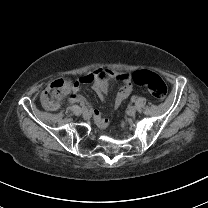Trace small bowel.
Returning a JSON list of instances; mask_svg holds the SVG:
<instances>
[{
    "label": "small bowel",
    "mask_w": 208,
    "mask_h": 208,
    "mask_svg": "<svg viewBox=\"0 0 208 208\" xmlns=\"http://www.w3.org/2000/svg\"><path fill=\"white\" fill-rule=\"evenodd\" d=\"M100 72L107 73L108 77L104 79L91 80L92 75H96L97 73H100ZM111 77L124 83V85L120 88V90L116 94V97L113 103L114 107H118L131 93V86L128 84V78L123 73H113L112 71L101 67V68H98L94 73H89V74L84 75L78 81H76L75 84L70 83L68 88L77 90L78 85L80 84H93L94 91L101 98H103L108 91L107 80ZM61 98L62 96L54 99L50 95H48L45 98L42 97V102L46 110L55 111L57 109V105L59 101L61 100ZM70 102L81 104L83 103V99L81 97H76V95H71ZM92 115L94 117V121L96 125L99 128L105 129L108 127L109 122L107 119L104 118L102 108L100 107L95 108L92 112Z\"/></svg>",
    "instance_id": "1"
}]
</instances>
